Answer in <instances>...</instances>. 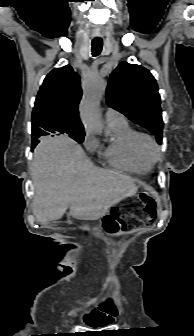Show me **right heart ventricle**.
<instances>
[{"mask_svg":"<svg viewBox=\"0 0 194 336\" xmlns=\"http://www.w3.org/2000/svg\"><path fill=\"white\" fill-rule=\"evenodd\" d=\"M111 137L106 146L96 143L99 155L112 167L134 174H145L151 166L137 156L134 149L136 131L127 122L109 126Z\"/></svg>","mask_w":194,"mask_h":336,"instance_id":"1","label":"right heart ventricle"}]
</instances>
